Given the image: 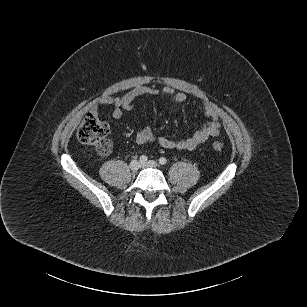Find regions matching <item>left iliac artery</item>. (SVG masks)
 I'll use <instances>...</instances> for the list:
<instances>
[{
	"label": "left iliac artery",
	"instance_id": "1",
	"mask_svg": "<svg viewBox=\"0 0 307 307\" xmlns=\"http://www.w3.org/2000/svg\"><path fill=\"white\" fill-rule=\"evenodd\" d=\"M159 163L161 165H165L167 163V159L165 157H161V158H159Z\"/></svg>",
	"mask_w": 307,
	"mask_h": 307
}]
</instances>
